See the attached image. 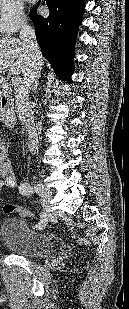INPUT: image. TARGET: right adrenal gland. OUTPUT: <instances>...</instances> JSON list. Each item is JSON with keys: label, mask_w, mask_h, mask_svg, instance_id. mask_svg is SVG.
Returning a JSON list of instances; mask_svg holds the SVG:
<instances>
[{"label": "right adrenal gland", "mask_w": 129, "mask_h": 309, "mask_svg": "<svg viewBox=\"0 0 129 309\" xmlns=\"http://www.w3.org/2000/svg\"><path fill=\"white\" fill-rule=\"evenodd\" d=\"M37 86H38V81L35 82V84L33 85L32 89H33V90H36V89H37Z\"/></svg>", "instance_id": "right-adrenal-gland-1"}]
</instances>
